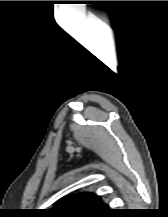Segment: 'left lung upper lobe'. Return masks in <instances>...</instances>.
<instances>
[{
  "mask_svg": "<svg viewBox=\"0 0 168 217\" xmlns=\"http://www.w3.org/2000/svg\"><path fill=\"white\" fill-rule=\"evenodd\" d=\"M106 207L96 194L81 193L59 199L48 213L53 217H92L104 213Z\"/></svg>",
  "mask_w": 168,
  "mask_h": 217,
  "instance_id": "1",
  "label": "left lung upper lobe"
}]
</instances>
